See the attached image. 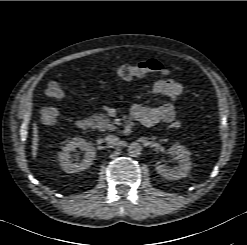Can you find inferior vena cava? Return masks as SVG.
Instances as JSON below:
<instances>
[{
    "instance_id": "602c4592",
    "label": "inferior vena cava",
    "mask_w": 247,
    "mask_h": 245,
    "mask_svg": "<svg viewBox=\"0 0 247 245\" xmlns=\"http://www.w3.org/2000/svg\"><path fill=\"white\" fill-rule=\"evenodd\" d=\"M105 141L110 143V144H115L119 141V138L117 136H114V135H108V136H106Z\"/></svg>"
}]
</instances>
